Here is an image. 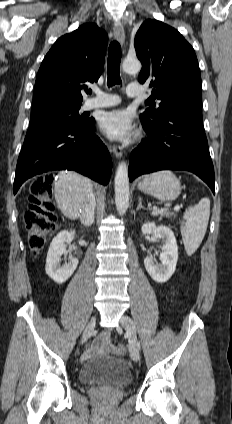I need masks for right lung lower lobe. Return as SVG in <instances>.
Wrapping results in <instances>:
<instances>
[{"instance_id": "98d812e1", "label": "right lung lower lobe", "mask_w": 232, "mask_h": 424, "mask_svg": "<svg viewBox=\"0 0 232 424\" xmlns=\"http://www.w3.org/2000/svg\"><path fill=\"white\" fill-rule=\"evenodd\" d=\"M94 132V120L79 127L30 125L17 162L14 194L27 179L56 169L75 170L108 184L111 156Z\"/></svg>"}]
</instances>
